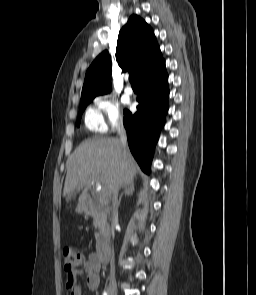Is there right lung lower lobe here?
<instances>
[{
	"mask_svg": "<svg viewBox=\"0 0 256 295\" xmlns=\"http://www.w3.org/2000/svg\"><path fill=\"white\" fill-rule=\"evenodd\" d=\"M137 112L124 110V126L129 148L140 165L149 172L155 145L164 126L168 105V75L165 61L144 73L138 80Z\"/></svg>",
	"mask_w": 256,
	"mask_h": 295,
	"instance_id": "right-lung-lower-lobe-1",
	"label": "right lung lower lobe"
}]
</instances>
